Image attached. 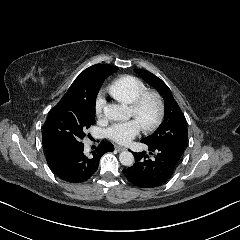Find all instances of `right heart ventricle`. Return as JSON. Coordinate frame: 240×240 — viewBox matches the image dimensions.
Instances as JSON below:
<instances>
[{"mask_svg":"<svg viewBox=\"0 0 240 240\" xmlns=\"http://www.w3.org/2000/svg\"><path fill=\"white\" fill-rule=\"evenodd\" d=\"M146 90L142 80L134 76H123L108 88L109 94L123 105H131L135 98Z\"/></svg>","mask_w":240,"mask_h":240,"instance_id":"1","label":"right heart ventricle"}]
</instances>
